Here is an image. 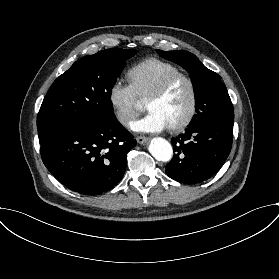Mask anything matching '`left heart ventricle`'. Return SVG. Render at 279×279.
I'll list each match as a JSON object with an SVG mask.
<instances>
[{
  "label": "left heart ventricle",
  "mask_w": 279,
  "mask_h": 279,
  "mask_svg": "<svg viewBox=\"0 0 279 279\" xmlns=\"http://www.w3.org/2000/svg\"><path fill=\"white\" fill-rule=\"evenodd\" d=\"M190 103V86L185 80H181L164 97L147 103V107L149 111L158 113L171 126L180 123L185 118Z\"/></svg>",
  "instance_id": "obj_1"
}]
</instances>
